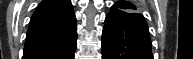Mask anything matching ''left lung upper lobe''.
Listing matches in <instances>:
<instances>
[{
    "instance_id": "1",
    "label": "left lung upper lobe",
    "mask_w": 193,
    "mask_h": 59,
    "mask_svg": "<svg viewBox=\"0 0 193 59\" xmlns=\"http://www.w3.org/2000/svg\"><path fill=\"white\" fill-rule=\"evenodd\" d=\"M111 12L125 13L133 18H143V16L139 14L137 7L128 1L115 3L111 8Z\"/></svg>"
}]
</instances>
